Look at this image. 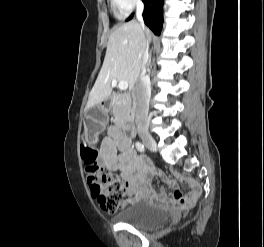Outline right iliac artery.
<instances>
[{
  "instance_id": "right-iliac-artery-1",
  "label": "right iliac artery",
  "mask_w": 264,
  "mask_h": 247,
  "mask_svg": "<svg viewBox=\"0 0 264 247\" xmlns=\"http://www.w3.org/2000/svg\"><path fill=\"white\" fill-rule=\"evenodd\" d=\"M135 146H136L138 151H140V152L145 151L144 145L141 142H136Z\"/></svg>"
}]
</instances>
